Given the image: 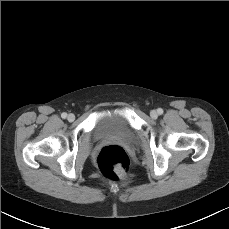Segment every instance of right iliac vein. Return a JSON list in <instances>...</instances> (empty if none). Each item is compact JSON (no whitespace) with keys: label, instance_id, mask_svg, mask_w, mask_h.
<instances>
[{"label":"right iliac vein","instance_id":"right-iliac-vein-1","mask_svg":"<svg viewBox=\"0 0 229 229\" xmlns=\"http://www.w3.org/2000/svg\"><path fill=\"white\" fill-rule=\"evenodd\" d=\"M67 119H68V121L72 122L75 119V115L74 114H69Z\"/></svg>","mask_w":229,"mask_h":229}]
</instances>
